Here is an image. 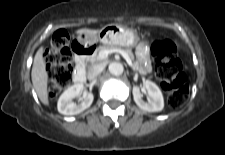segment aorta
<instances>
[{
    "instance_id": "aorta-1",
    "label": "aorta",
    "mask_w": 225,
    "mask_h": 155,
    "mask_svg": "<svg viewBox=\"0 0 225 155\" xmlns=\"http://www.w3.org/2000/svg\"><path fill=\"white\" fill-rule=\"evenodd\" d=\"M108 69H109V72L115 76L121 75L124 71L123 65L119 62L110 63Z\"/></svg>"
}]
</instances>
